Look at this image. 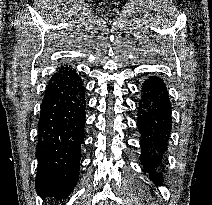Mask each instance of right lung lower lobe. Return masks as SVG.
Returning <instances> with one entry per match:
<instances>
[{
    "label": "right lung lower lobe",
    "instance_id": "obj_1",
    "mask_svg": "<svg viewBox=\"0 0 212 205\" xmlns=\"http://www.w3.org/2000/svg\"><path fill=\"white\" fill-rule=\"evenodd\" d=\"M86 97L75 69L62 65L45 90L38 123L35 186L42 197H66L78 180Z\"/></svg>",
    "mask_w": 212,
    "mask_h": 205
}]
</instances>
